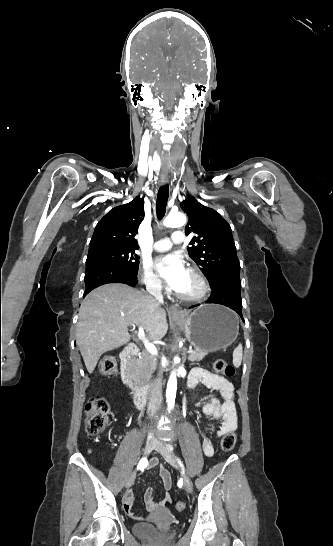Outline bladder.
<instances>
[{
    "label": "bladder",
    "mask_w": 333,
    "mask_h": 546,
    "mask_svg": "<svg viewBox=\"0 0 333 546\" xmlns=\"http://www.w3.org/2000/svg\"><path fill=\"white\" fill-rule=\"evenodd\" d=\"M133 532L136 536L145 539H166L171 536L168 531H163L150 523H137L133 526Z\"/></svg>",
    "instance_id": "bladder-1"
}]
</instances>
